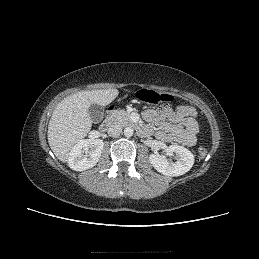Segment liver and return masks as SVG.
Wrapping results in <instances>:
<instances>
[{"mask_svg":"<svg viewBox=\"0 0 259 259\" xmlns=\"http://www.w3.org/2000/svg\"><path fill=\"white\" fill-rule=\"evenodd\" d=\"M118 94L117 89L81 91L64 98L57 105L48 125V142L60 161L67 162L72 148L90 131V105L106 106Z\"/></svg>","mask_w":259,"mask_h":259,"instance_id":"6515ba94","label":"liver"}]
</instances>
